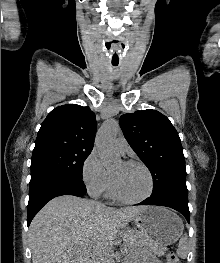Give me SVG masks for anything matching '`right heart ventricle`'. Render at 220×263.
Masks as SVG:
<instances>
[{"label":"right heart ventricle","instance_id":"e07e8e85","mask_svg":"<svg viewBox=\"0 0 220 263\" xmlns=\"http://www.w3.org/2000/svg\"><path fill=\"white\" fill-rule=\"evenodd\" d=\"M107 190L109 191V194L111 195V191H110V189L108 188Z\"/></svg>","mask_w":220,"mask_h":263}]
</instances>
